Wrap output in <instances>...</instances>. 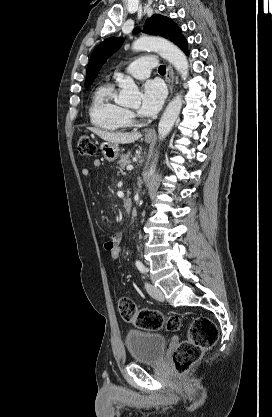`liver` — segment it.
I'll list each match as a JSON object with an SVG mask.
<instances>
[{
    "mask_svg": "<svg viewBox=\"0 0 272 417\" xmlns=\"http://www.w3.org/2000/svg\"><path fill=\"white\" fill-rule=\"evenodd\" d=\"M93 133L97 134L101 139L116 143V144H129L133 143L141 137L140 132H133V133H121V132H107L100 130L95 127L88 128Z\"/></svg>",
    "mask_w": 272,
    "mask_h": 417,
    "instance_id": "liver-1",
    "label": "liver"
}]
</instances>
